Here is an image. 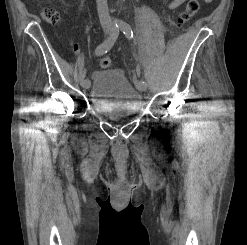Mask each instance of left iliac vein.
Instances as JSON below:
<instances>
[{
    "instance_id": "4c4485c4",
    "label": "left iliac vein",
    "mask_w": 247,
    "mask_h": 245,
    "mask_svg": "<svg viewBox=\"0 0 247 245\" xmlns=\"http://www.w3.org/2000/svg\"><path fill=\"white\" fill-rule=\"evenodd\" d=\"M137 87L140 91H145L147 89V86H142L140 84H137Z\"/></svg>"
}]
</instances>
